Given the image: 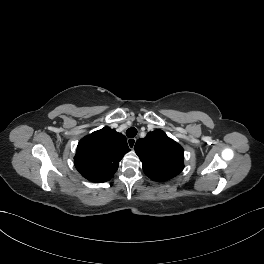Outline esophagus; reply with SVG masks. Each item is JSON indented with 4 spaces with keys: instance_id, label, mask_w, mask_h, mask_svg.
Segmentation results:
<instances>
[{
    "instance_id": "esophagus-1",
    "label": "esophagus",
    "mask_w": 264,
    "mask_h": 264,
    "mask_svg": "<svg viewBox=\"0 0 264 264\" xmlns=\"http://www.w3.org/2000/svg\"><path fill=\"white\" fill-rule=\"evenodd\" d=\"M127 143H128V146L133 149L136 144V138H129L127 140Z\"/></svg>"
}]
</instances>
